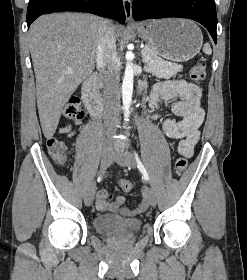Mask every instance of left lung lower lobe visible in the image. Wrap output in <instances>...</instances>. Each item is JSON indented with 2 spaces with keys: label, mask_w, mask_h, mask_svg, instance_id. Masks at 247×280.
Segmentation results:
<instances>
[{
  "label": "left lung lower lobe",
  "mask_w": 247,
  "mask_h": 280,
  "mask_svg": "<svg viewBox=\"0 0 247 280\" xmlns=\"http://www.w3.org/2000/svg\"><path fill=\"white\" fill-rule=\"evenodd\" d=\"M135 20L179 17L201 23L217 42V15L214 0H139L132 4Z\"/></svg>",
  "instance_id": "0a47b994"
}]
</instances>
